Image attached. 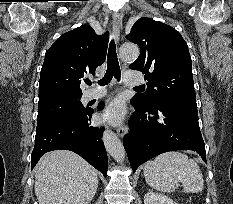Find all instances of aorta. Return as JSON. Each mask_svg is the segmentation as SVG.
I'll list each match as a JSON object with an SVG mask.
<instances>
[{
    "label": "aorta",
    "instance_id": "1",
    "mask_svg": "<svg viewBox=\"0 0 233 204\" xmlns=\"http://www.w3.org/2000/svg\"><path fill=\"white\" fill-rule=\"evenodd\" d=\"M120 57L125 61H134L139 56V48L135 44H123L119 50ZM103 142L107 152L119 163L125 159V150L122 142L111 130H105Z\"/></svg>",
    "mask_w": 233,
    "mask_h": 204
}]
</instances>
